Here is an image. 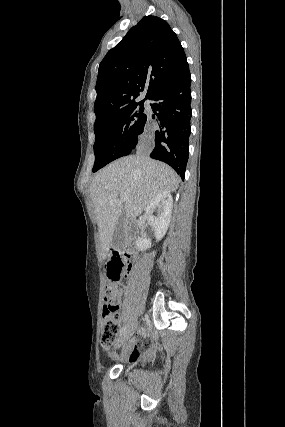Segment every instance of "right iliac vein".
I'll return each mask as SVG.
<instances>
[{
    "label": "right iliac vein",
    "instance_id": "right-iliac-vein-1",
    "mask_svg": "<svg viewBox=\"0 0 285 427\" xmlns=\"http://www.w3.org/2000/svg\"><path fill=\"white\" fill-rule=\"evenodd\" d=\"M137 327L136 321L131 324V326L118 338L117 342L114 345V348L117 349L121 347L126 341H128L134 334Z\"/></svg>",
    "mask_w": 285,
    "mask_h": 427
}]
</instances>
